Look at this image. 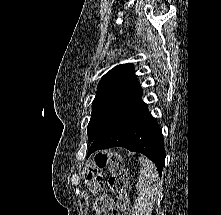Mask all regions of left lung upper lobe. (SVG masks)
<instances>
[{
  "label": "left lung upper lobe",
  "instance_id": "obj_1",
  "mask_svg": "<svg viewBox=\"0 0 221 215\" xmlns=\"http://www.w3.org/2000/svg\"><path fill=\"white\" fill-rule=\"evenodd\" d=\"M143 92L132 64H122L107 72L101 79L92 116L87 127L88 139L92 142L120 115L141 99Z\"/></svg>",
  "mask_w": 221,
  "mask_h": 215
}]
</instances>
